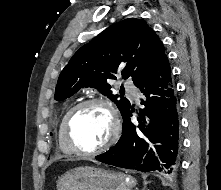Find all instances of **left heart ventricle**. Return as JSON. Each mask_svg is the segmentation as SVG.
Segmentation results:
<instances>
[{"instance_id":"obj_1","label":"left heart ventricle","mask_w":221,"mask_h":190,"mask_svg":"<svg viewBox=\"0 0 221 190\" xmlns=\"http://www.w3.org/2000/svg\"><path fill=\"white\" fill-rule=\"evenodd\" d=\"M112 130V118L106 107L94 104L82 109L72 124V136L76 143L93 149L107 141Z\"/></svg>"}]
</instances>
